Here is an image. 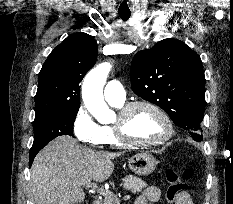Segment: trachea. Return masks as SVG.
I'll list each match as a JSON object with an SVG mask.
<instances>
[{"label": "trachea", "mask_w": 233, "mask_h": 204, "mask_svg": "<svg viewBox=\"0 0 233 204\" xmlns=\"http://www.w3.org/2000/svg\"><path fill=\"white\" fill-rule=\"evenodd\" d=\"M130 15H131L130 13L119 12V16L123 21H127L130 18Z\"/></svg>", "instance_id": "1"}]
</instances>
